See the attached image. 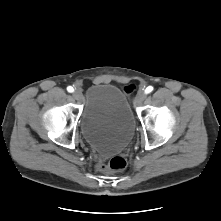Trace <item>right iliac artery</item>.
Segmentation results:
<instances>
[{
  "mask_svg": "<svg viewBox=\"0 0 221 221\" xmlns=\"http://www.w3.org/2000/svg\"><path fill=\"white\" fill-rule=\"evenodd\" d=\"M68 92L72 93L74 91L73 87L69 86L67 87Z\"/></svg>",
  "mask_w": 221,
  "mask_h": 221,
  "instance_id": "1",
  "label": "right iliac artery"
}]
</instances>
